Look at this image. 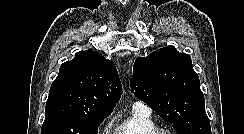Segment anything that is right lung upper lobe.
Wrapping results in <instances>:
<instances>
[{
    "label": "right lung upper lobe",
    "mask_w": 244,
    "mask_h": 134,
    "mask_svg": "<svg viewBox=\"0 0 244 134\" xmlns=\"http://www.w3.org/2000/svg\"><path fill=\"white\" fill-rule=\"evenodd\" d=\"M122 94L115 65L100 53L81 51L60 66L46 107L59 106L88 116L109 115Z\"/></svg>",
    "instance_id": "right-lung-upper-lobe-1"
}]
</instances>
